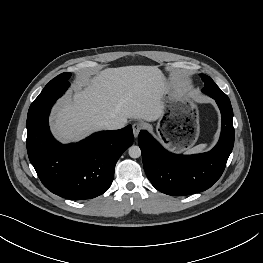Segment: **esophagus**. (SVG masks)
I'll use <instances>...</instances> for the list:
<instances>
[{
  "label": "esophagus",
  "instance_id": "1",
  "mask_svg": "<svg viewBox=\"0 0 263 263\" xmlns=\"http://www.w3.org/2000/svg\"><path fill=\"white\" fill-rule=\"evenodd\" d=\"M132 129H133L134 137L136 138L142 129V124L140 122H135L132 124Z\"/></svg>",
  "mask_w": 263,
  "mask_h": 263
}]
</instances>
